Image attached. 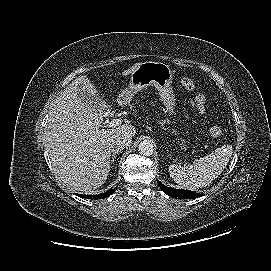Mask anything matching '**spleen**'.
<instances>
[{"mask_svg":"<svg viewBox=\"0 0 271 271\" xmlns=\"http://www.w3.org/2000/svg\"><path fill=\"white\" fill-rule=\"evenodd\" d=\"M231 155L232 146L224 145L211 154L196 159L191 165H170V177L188 190L205 187L223 172Z\"/></svg>","mask_w":271,"mask_h":271,"instance_id":"obj_1","label":"spleen"}]
</instances>
